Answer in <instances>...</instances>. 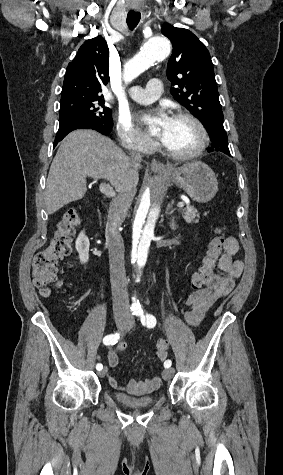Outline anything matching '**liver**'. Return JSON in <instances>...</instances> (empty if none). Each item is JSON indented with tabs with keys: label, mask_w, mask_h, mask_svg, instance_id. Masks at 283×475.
Masks as SVG:
<instances>
[{
	"label": "liver",
	"mask_w": 283,
	"mask_h": 475,
	"mask_svg": "<svg viewBox=\"0 0 283 475\" xmlns=\"http://www.w3.org/2000/svg\"><path fill=\"white\" fill-rule=\"evenodd\" d=\"M140 160L133 162L113 140L94 130H75L62 140L49 170L45 206L47 214L82 200L86 178H106L116 192L135 196Z\"/></svg>",
	"instance_id": "liver-1"
}]
</instances>
